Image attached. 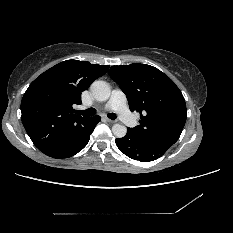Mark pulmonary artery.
Masks as SVG:
<instances>
[{"label": "pulmonary artery", "mask_w": 233, "mask_h": 233, "mask_svg": "<svg viewBox=\"0 0 233 233\" xmlns=\"http://www.w3.org/2000/svg\"><path fill=\"white\" fill-rule=\"evenodd\" d=\"M105 108L115 110L126 125H133L134 120L131 112L126 106L125 95L120 90H114L112 92V95Z\"/></svg>", "instance_id": "1"}]
</instances>
